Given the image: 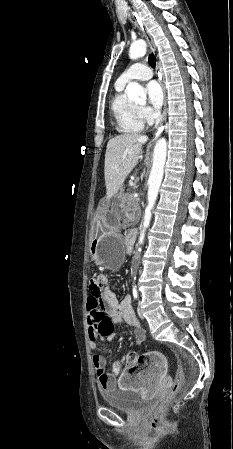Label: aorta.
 I'll use <instances>...</instances> for the list:
<instances>
[{
    "label": "aorta",
    "mask_w": 233,
    "mask_h": 449,
    "mask_svg": "<svg viewBox=\"0 0 233 449\" xmlns=\"http://www.w3.org/2000/svg\"><path fill=\"white\" fill-rule=\"evenodd\" d=\"M147 46L145 41L138 40L131 44L129 50V57L137 59L146 54ZM126 93L130 100H137L139 98L146 99V94L141 85L136 82L129 83L126 87ZM167 154V141L164 137L160 138L154 148L153 165L148 179L149 189L147 206L144 213L143 228L139 237V245L143 244L145 238V231L150 224L152 210L154 208L158 191L163 179L164 165ZM140 251V248L138 249Z\"/></svg>",
    "instance_id": "obj_1"
}]
</instances>
